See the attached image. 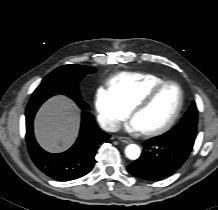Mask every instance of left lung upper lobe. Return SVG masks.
I'll return each instance as SVG.
<instances>
[{"instance_id":"1","label":"left lung upper lobe","mask_w":218,"mask_h":210,"mask_svg":"<svg viewBox=\"0 0 218 210\" xmlns=\"http://www.w3.org/2000/svg\"><path fill=\"white\" fill-rule=\"evenodd\" d=\"M197 116L198 110L196 107L195 102H192L191 106L189 107L188 111L182 118L181 122L171 129L169 132L165 133L166 136H176V134L181 133V127H187L186 130L192 131L191 133L196 137V128H197Z\"/></svg>"}]
</instances>
